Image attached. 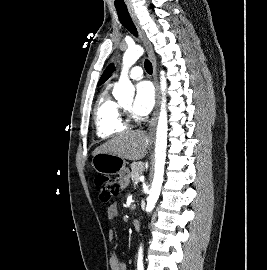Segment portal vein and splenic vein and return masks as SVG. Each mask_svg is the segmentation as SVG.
Wrapping results in <instances>:
<instances>
[{"label":"portal vein and splenic vein","instance_id":"1","mask_svg":"<svg viewBox=\"0 0 267 270\" xmlns=\"http://www.w3.org/2000/svg\"><path fill=\"white\" fill-rule=\"evenodd\" d=\"M143 179H144V176L142 175V176H140V177L138 178L137 182H138L139 180H143Z\"/></svg>","mask_w":267,"mask_h":270}]
</instances>
